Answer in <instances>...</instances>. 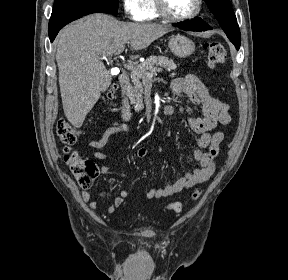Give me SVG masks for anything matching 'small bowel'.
<instances>
[{
	"mask_svg": "<svg viewBox=\"0 0 288 280\" xmlns=\"http://www.w3.org/2000/svg\"><path fill=\"white\" fill-rule=\"evenodd\" d=\"M172 92L178 97L187 96L191 102L198 107L201 116L192 114L187 118L189 128L199 135L197 139V148L194 151V159L199 167L190 173H186L179 178L174 184L166 186H155L145 192L147 199H158L172 196L176 193L189 189L197 184L207 181L215 171V162L221 150V143L224 134L221 131L211 133L217 125H228L231 122L230 107L227 103L212 96L207 87L194 74H186L176 78L171 83ZM182 108H180V111ZM128 126L120 122H113L103 133L101 138L89 142V147L94 149L93 156L101 161H106L107 156L100 152L108 142L110 136L114 133L127 131ZM207 149V150H204ZM148 150L140 147L137 150V156L140 159L146 158ZM100 172L104 176L127 180L128 177L119 172L111 171L109 165H102ZM129 196L126 189L120 191L119 195L114 198L113 202L102 208L106 214L113 213L119 208ZM82 198L85 202H89V206L93 210L100 208L98 202L91 201V196L87 191H83Z\"/></svg>",
	"mask_w": 288,
	"mask_h": 280,
	"instance_id": "obj_1",
	"label": "small bowel"
}]
</instances>
